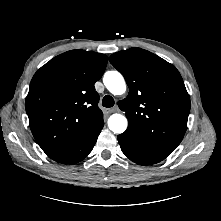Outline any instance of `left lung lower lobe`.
<instances>
[{
    "label": "left lung lower lobe",
    "mask_w": 221,
    "mask_h": 221,
    "mask_svg": "<svg viewBox=\"0 0 221 221\" xmlns=\"http://www.w3.org/2000/svg\"><path fill=\"white\" fill-rule=\"evenodd\" d=\"M117 139L126 157L140 165L156 164L170 154L147 146L128 128L124 133L118 135Z\"/></svg>",
    "instance_id": "0a47b994"
}]
</instances>
